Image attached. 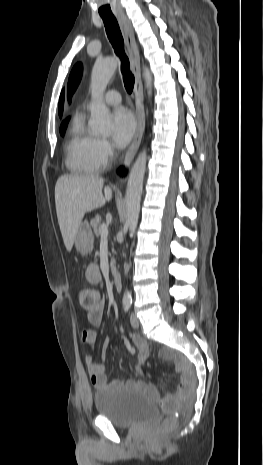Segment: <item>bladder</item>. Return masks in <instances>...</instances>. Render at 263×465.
Listing matches in <instances>:
<instances>
[{
  "instance_id": "obj_1",
  "label": "bladder",
  "mask_w": 263,
  "mask_h": 465,
  "mask_svg": "<svg viewBox=\"0 0 263 465\" xmlns=\"http://www.w3.org/2000/svg\"><path fill=\"white\" fill-rule=\"evenodd\" d=\"M93 400L97 413L121 428L149 422L158 414L156 403L135 390L107 386L95 393Z\"/></svg>"
}]
</instances>
